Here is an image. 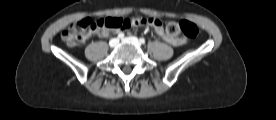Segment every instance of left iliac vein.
I'll return each mask as SVG.
<instances>
[{
    "instance_id": "obj_1",
    "label": "left iliac vein",
    "mask_w": 276,
    "mask_h": 120,
    "mask_svg": "<svg viewBox=\"0 0 276 120\" xmlns=\"http://www.w3.org/2000/svg\"><path fill=\"white\" fill-rule=\"evenodd\" d=\"M122 41L133 43L136 46H140L141 45L140 42H139V40L136 37H134V36L126 37Z\"/></svg>"
}]
</instances>
